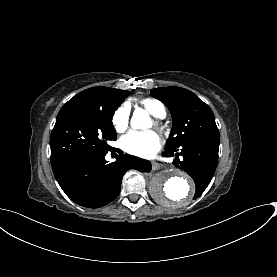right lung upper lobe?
<instances>
[{
	"label": "right lung upper lobe",
	"instance_id": "right-lung-upper-lobe-1",
	"mask_svg": "<svg viewBox=\"0 0 277 277\" xmlns=\"http://www.w3.org/2000/svg\"><path fill=\"white\" fill-rule=\"evenodd\" d=\"M125 92L124 90L108 87H92L80 92L72 99L92 100L104 106L119 107Z\"/></svg>",
	"mask_w": 277,
	"mask_h": 277
}]
</instances>
